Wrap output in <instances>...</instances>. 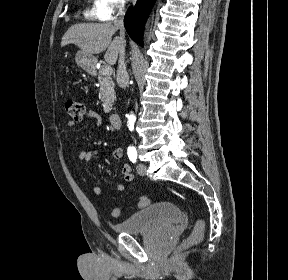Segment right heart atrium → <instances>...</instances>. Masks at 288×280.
<instances>
[{
  "label": "right heart atrium",
  "mask_w": 288,
  "mask_h": 280,
  "mask_svg": "<svg viewBox=\"0 0 288 280\" xmlns=\"http://www.w3.org/2000/svg\"><path fill=\"white\" fill-rule=\"evenodd\" d=\"M126 0H96L95 16L98 20H111L125 7Z\"/></svg>",
  "instance_id": "obj_1"
}]
</instances>
